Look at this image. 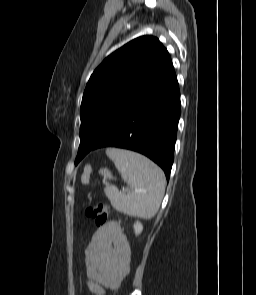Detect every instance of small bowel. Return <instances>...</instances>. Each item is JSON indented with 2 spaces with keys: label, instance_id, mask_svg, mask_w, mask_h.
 I'll list each match as a JSON object with an SVG mask.
<instances>
[{
  "label": "small bowel",
  "instance_id": "obj_1",
  "mask_svg": "<svg viewBox=\"0 0 256 295\" xmlns=\"http://www.w3.org/2000/svg\"><path fill=\"white\" fill-rule=\"evenodd\" d=\"M131 251L121 224L110 220L96 230L84 250L86 285L95 295L116 289L129 272Z\"/></svg>",
  "mask_w": 256,
  "mask_h": 295
}]
</instances>
